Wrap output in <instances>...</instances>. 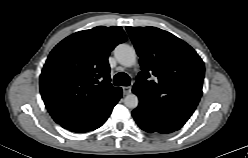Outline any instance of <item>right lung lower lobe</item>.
Masks as SVG:
<instances>
[{"instance_id":"1","label":"right lung lower lobe","mask_w":248,"mask_h":158,"mask_svg":"<svg viewBox=\"0 0 248 158\" xmlns=\"http://www.w3.org/2000/svg\"><path fill=\"white\" fill-rule=\"evenodd\" d=\"M122 96V89L120 88L115 95L109 99L98 111L83 119L64 123L61 126L72 132H88L99 128L109 117L113 107Z\"/></svg>"}]
</instances>
